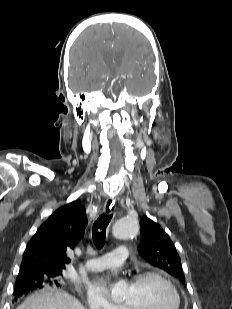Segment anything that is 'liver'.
I'll return each instance as SVG.
<instances>
[{"label":"liver","mask_w":232,"mask_h":309,"mask_svg":"<svg viewBox=\"0 0 232 309\" xmlns=\"http://www.w3.org/2000/svg\"><path fill=\"white\" fill-rule=\"evenodd\" d=\"M16 309H85L83 305L64 290L44 288L29 296Z\"/></svg>","instance_id":"6515ba94"}]
</instances>
